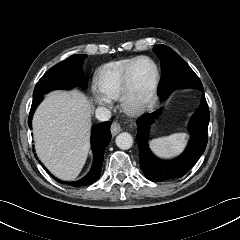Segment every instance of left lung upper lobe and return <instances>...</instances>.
<instances>
[{
    "instance_id": "left-lung-upper-lobe-1",
    "label": "left lung upper lobe",
    "mask_w": 240,
    "mask_h": 240,
    "mask_svg": "<svg viewBox=\"0 0 240 240\" xmlns=\"http://www.w3.org/2000/svg\"><path fill=\"white\" fill-rule=\"evenodd\" d=\"M154 51L161 61L160 97L162 99L179 87H195L203 90L199 77L173 49L166 45H157Z\"/></svg>"
}]
</instances>
